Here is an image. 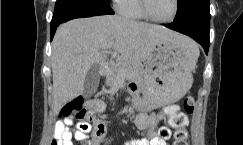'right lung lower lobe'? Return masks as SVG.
<instances>
[{
	"mask_svg": "<svg viewBox=\"0 0 243 145\" xmlns=\"http://www.w3.org/2000/svg\"><path fill=\"white\" fill-rule=\"evenodd\" d=\"M109 4L102 0H57L51 21V40L57 27L68 20L114 14Z\"/></svg>",
	"mask_w": 243,
	"mask_h": 145,
	"instance_id": "1",
	"label": "right lung lower lobe"
}]
</instances>
